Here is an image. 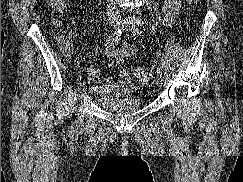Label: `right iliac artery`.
<instances>
[{"label":"right iliac artery","mask_w":243,"mask_h":182,"mask_svg":"<svg viewBox=\"0 0 243 182\" xmlns=\"http://www.w3.org/2000/svg\"><path fill=\"white\" fill-rule=\"evenodd\" d=\"M123 32V29L122 28H118L116 31H114L110 36H109V39H119L121 34ZM81 80H82V77L81 75H79L77 77V85H79L81 83Z\"/></svg>","instance_id":"1"}]
</instances>
